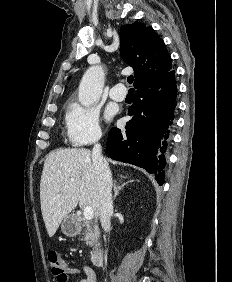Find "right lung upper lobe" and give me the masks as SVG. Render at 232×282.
<instances>
[{"label":"right lung upper lobe","mask_w":232,"mask_h":282,"mask_svg":"<svg viewBox=\"0 0 232 282\" xmlns=\"http://www.w3.org/2000/svg\"><path fill=\"white\" fill-rule=\"evenodd\" d=\"M120 54L134 69V86L171 70V58L162 39L151 26L140 22L120 28Z\"/></svg>","instance_id":"obj_1"}]
</instances>
